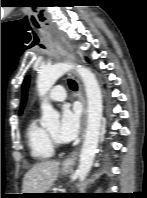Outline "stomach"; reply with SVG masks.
I'll list each match as a JSON object with an SVG mask.
<instances>
[{
	"label": "stomach",
	"mask_w": 147,
	"mask_h": 198,
	"mask_svg": "<svg viewBox=\"0 0 147 198\" xmlns=\"http://www.w3.org/2000/svg\"><path fill=\"white\" fill-rule=\"evenodd\" d=\"M70 170H71V168L62 167L63 174H68L70 172Z\"/></svg>",
	"instance_id": "1"
}]
</instances>
